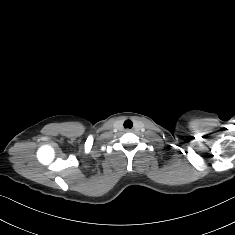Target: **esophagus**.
Listing matches in <instances>:
<instances>
[{
	"mask_svg": "<svg viewBox=\"0 0 235 235\" xmlns=\"http://www.w3.org/2000/svg\"><path fill=\"white\" fill-rule=\"evenodd\" d=\"M126 131H127V132H132V131H133V129H126Z\"/></svg>",
	"mask_w": 235,
	"mask_h": 235,
	"instance_id": "esophagus-1",
	"label": "esophagus"
}]
</instances>
